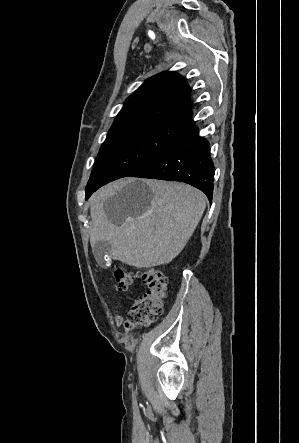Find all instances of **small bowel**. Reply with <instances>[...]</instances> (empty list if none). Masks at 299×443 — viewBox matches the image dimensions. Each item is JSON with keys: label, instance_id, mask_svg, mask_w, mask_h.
<instances>
[{"label": "small bowel", "instance_id": "small-bowel-1", "mask_svg": "<svg viewBox=\"0 0 299 443\" xmlns=\"http://www.w3.org/2000/svg\"><path fill=\"white\" fill-rule=\"evenodd\" d=\"M115 321H116L117 324H120L122 322V319H121L120 316H116L115 317Z\"/></svg>", "mask_w": 299, "mask_h": 443}]
</instances>
